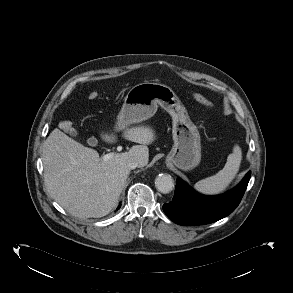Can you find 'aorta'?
Returning a JSON list of instances; mask_svg holds the SVG:
<instances>
[{
  "label": "aorta",
  "mask_w": 293,
  "mask_h": 293,
  "mask_svg": "<svg viewBox=\"0 0 293 293\" xmlns=\"http://www.w3.org/2000/svg\"><path fill=\"white\" fill-rule=\"evenodd\" d=\"M156 189L163 193H170L174 188L173 178L169 174H159L155 179Z\"/></svg>",
  "instance_id": "1"
}]
</instances>
